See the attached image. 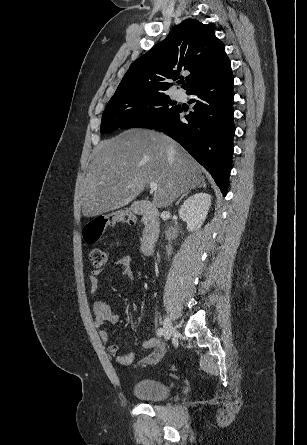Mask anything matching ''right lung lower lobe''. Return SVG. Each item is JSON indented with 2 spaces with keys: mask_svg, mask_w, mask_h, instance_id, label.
<instances>
[{
  "mask_svg": "<svg viewBox=\"0 0 307 445\" xmlns=\"http://www.w3.org/2000/svg\"><path fill=\"white\" fill-rule=\"evenodd\" d=\"M195 95L194 112L179 118L178 107L163 120L149 126L179 142L213 176L227 194L233 155V75L230 62L186 91Z\"/></svg>",
  "mask_w": 307,
  "mask_h": 445,
  "instance_id": "1",
  "label": "right lung lower lobe"
}]
</instances>
